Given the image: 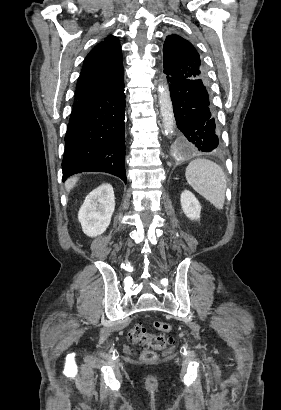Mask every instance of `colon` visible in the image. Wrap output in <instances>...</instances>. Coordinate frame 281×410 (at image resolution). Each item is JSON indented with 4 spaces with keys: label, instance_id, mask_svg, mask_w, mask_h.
<instances>
[{
    "label": "colon",
    "instance_id": "5ec220e1",
    "mask_svg": "<svg viewBox=\"0 0 281 410\" xmlns=\"http://www.w3.org/2000/svg\"><path fill=\"white\" fill-rule=\"evenodd\" d=\"M152 326L159 330L160 333H149L145 326L134 325L129 331V338L132 342L141 345L144 350L141 353V359L151 362L156 359V350H162L172 344L173 338L168 335L172 326L169 323L155 320Z\"/></svg>",
    "mask_w": 281,
    "mask_h": 410
}]
</instances>
